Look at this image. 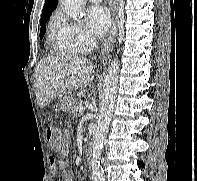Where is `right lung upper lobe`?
I'll use <instances>...</instances> for the list:
<instances>
[{
  "label": "right lung upper lobe",
  "instance_id": "1",
  "mask_svg": "<svg viewBox=\"0 0 197 181\" xmlns=\"http://www.w3.org/2000/svg\"><path fill=\"white\" fill-rule=\"evenodd\" d=\"M57 4L58 0H45L41 16L52 14V11L55 10Z\"/></svg>",
  "mask_w": 197,
  "mask_h": 181
}]
</instances>
